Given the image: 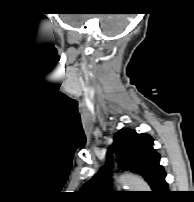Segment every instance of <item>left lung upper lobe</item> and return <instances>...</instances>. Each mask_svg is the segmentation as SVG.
I'll return each mask as SVG.
<instances>
[{
	"label": "left lung upper lobe",
	"instance_id": "left-lung-upper-lobe-1",
	"mask_svg": "<svg viewBox=\"0 0 194 202\" xmlns=\"http://www.w3.org/2000/svg\"><path fill=\"white\" fill-rule=\"evenodd\" d=\"M113 152L120 169L140 174L152 188L163 169L159 164L160 155L153 148V139L148 134H138L133 129L122 128L114 135L113 145L107 153L106 166L84 184L80 193L89 199H107L114 194L115 191H111L109 172Z\"/></svg>",
	"mask_w": 194,
	"mask_h": 202
}]
</instances>
